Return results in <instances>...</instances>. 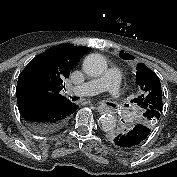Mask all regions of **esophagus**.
Segmentation results:
<instances>
[{
	"label": "esophagus",
	"mask_w": 177,
	"mask_h": 177,
	"mask_svg": "<svg viewBox=\"0 0 177 177\" xmlns=\"http://www.w3.org/2000/svg\"><path fill=\"white\" fill-rule=\"evenodd\" d=\"M96 109L99 111V112H106V111H108L109 110V108L108 107H106L105 105H96Z\"/></svg>",
	"instance_id": "34e87169"
}]
</instances>
